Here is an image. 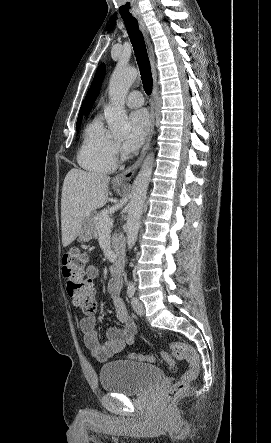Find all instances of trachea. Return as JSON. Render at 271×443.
Segmentation results:
<instances>
[{
	"instance_id": "1",
	"label": "trachea",
	"mask_w": 271,
	"mask_h": 443,
	"mask_svg": "<svg viewBox=\"0 0 271 443\" xmlns=\"http://www.w3.org/2000/svg\"><path fill=\"white\" fill-rule=\"evenodd\" d=\"M131 3L132 0H120L119 2L120 10L118 14L119 17L124 20V23L128 30V35L133 45L136 60L139 65V70L144 90L147 93V95H150L152 91V75H151L150 62L147 55V50L143 35L138 28L137 20L131 15L132 14L130 7Z\"/></svg>"
}]
</instances>
